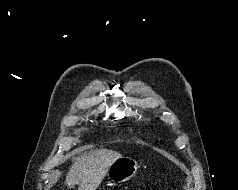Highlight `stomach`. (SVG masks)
<instances>
[{"label": "stomach", "mask_w": 238, "mask_h": 190, "mask_svg": "<svg viewBox=\"0 0 238 190\" xmlns=\"http://www.w3.org/2000/svg\"><path fill=\"white\" fill-rule=\"evenodd\" d=\"M138 168V163L134 159L121 157L109 167L107 176L113 182H125L136 174Z\"/></svg>", "instance_id": "stomach-1"}]
</instances>
